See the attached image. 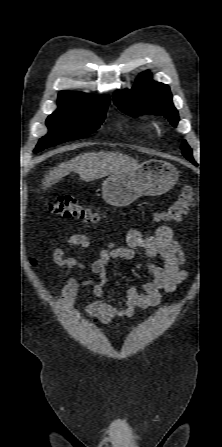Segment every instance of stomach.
I'll use <instances>...</instances> for the list:
<instances>
[{"label":"stomach","mask_w":222,"mask_h":447,"mask_svg":"<svg viewBox=\"0 0 222 447\" xmlns=\"http://www.w3.org/2000/svg\"><path fill=\"white\" fill-rule=\"evenodd\" d=\"M179 171L169 162L151 159L135 169L110 174L102 184L104 200L124 207L141 196H157L168 192L177 183Z\"/></svg>","instance_id":"stomach-1"}]
</instances>
